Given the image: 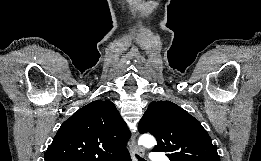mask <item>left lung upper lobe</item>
Listing matches in <instances>:
<instances>
[{
    "label": "left lung upper lobe",
    "instance_id": "left-lung-upper-lobe-1",
    "mask_svg": "<svg viewBox=\"0 0 261 161\" xmlns=\"http://www.w3.org/2000/svg\"><path fill=\"white\" fill-rule=\"evenodd\" d=\"M139 132L155 136V152L170 161H220L206 130L184 109L170 101H154L139 122Z\"/></svg>",
    "mask_w": 261,
    "mask_h": 161
}]
</instances>
